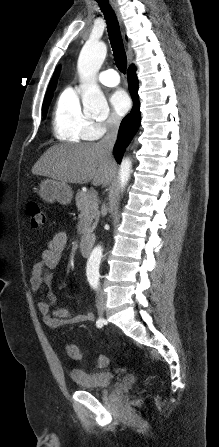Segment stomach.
Here are the masks:
<instances>
[{
  "instance_id": "1",
  "label": "stomach",
  "mask_w": 219,
  "mask_h": 447,
  "mask_svg": "<svg viewBox=\"0 0 219 447\" xmlns=\"http://www.w3.org/2000/svg\"><path fill=\"white\" fill-rule=\"evenodd\" d=\"M37 193L46 202L58 201L63 205L69 204L73 198L71 187L67 183L53 178L41 181Z\"/></svg>"
}]
</instances>
